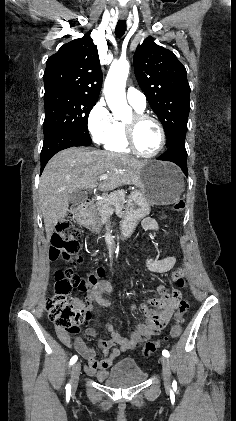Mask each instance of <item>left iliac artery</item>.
<instances>
[{"label":"left iliac artery","instance_id":"left-iliac-artery-1","mask_svg":"<svg viewBox=\"0 0 236 421\" xmlns=\"http://www.w3.org/2000/svg\"><path fill=\"white\" fill-rule=\"evenodd\" d=\"M162 355L165 356V357H169L170 356V354H169V352L167 350H163L162 351Z\"/></svg>","mask_w":236,"mask_h":421}]
</instances>
